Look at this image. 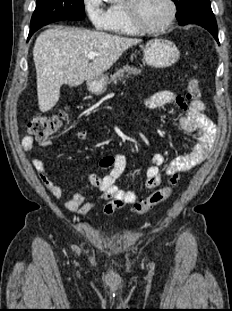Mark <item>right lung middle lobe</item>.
Masks as SVG:
<instances>
[{"label": "right lung middle lobe", "instance_id": "right-lung-middle-lobe-1", "mask_svg": "<svg viewBox=\"0 0 232 311\" xmlns=\"http://www.w3.org/2000/svg\"><path fill=\"white\" fill-rule=\"evenodd\" d=\"M84 0H37L30 29L40 28L59 20H82Z\"/></svg>", "mask_w": 232, "mask_h": 311}]
</instances>
